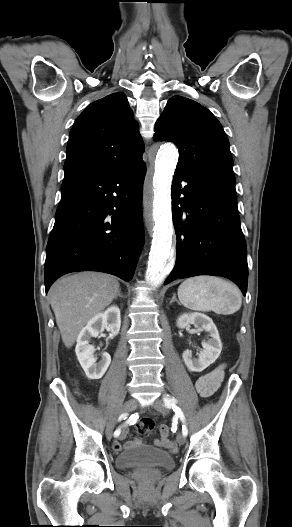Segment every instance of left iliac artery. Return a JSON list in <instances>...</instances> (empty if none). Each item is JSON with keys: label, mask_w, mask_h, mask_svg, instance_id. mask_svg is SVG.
Masks as SVG:
<instances>
[{"label": "left iliac artery", "mask_w": 292, "mask_h": 527, "mask_svg": "<svg viewBox=\"0 0 292 527\" xmlns=\"http://www.w3.org/2000/svg\"><path fill=\"white\" fill-rule=\"evenodd\" d=\"M164 403H165V406L168 407V408H172L173 411L175 412L176 416L180 418V420L182 421L183 425H182V433L184 436H186L188 434V429H187V426H186V420H185V416L181 410V408L179 406H177V400L174 398V397H170L169 395H166L163 399Z\"/></svg>", "instance_id": "1"}]
</instances>
